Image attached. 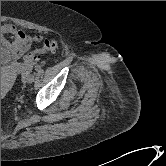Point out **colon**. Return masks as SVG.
<instances>
[{
	"label": "colon",
	"instance_id": "obj_1",
	"mask_svg": "<svg viewBox=\"0 0 166 166\" xmlns=\"http://www.w3.org/2000/svg\"><path fill=\"white\" fill-rule=\"evenodd\" d=\"M57 49H58V41L55 38L45 39L40 48L30 51L26 54L22 62L23 71H26L39 55L48 52H54Z\"/></svg>",
	"mask_w": 166,
	"mask_h": 166
}]
</instances>
